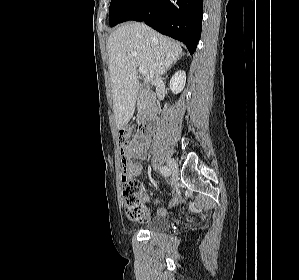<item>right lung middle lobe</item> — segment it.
Here are the masks:
<instances>
[{
    "label": "right lung middle lobe",
    "mask_w": 299,
    "mask_h": 280,
    "mask_svg": "<svg viewBox=\"0 0 299 280\" xmlns=\"http://www.w3.org/2000/svg\"><path fill=\"white\" fill-rule=\"evenodd\" d=\"M138 0H111L109 7V24L111 27L121 23L127 13L136 5Z\"/></svg>",
    "instance_id": "1"
}]
</instances>
